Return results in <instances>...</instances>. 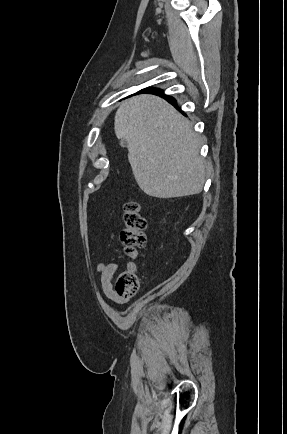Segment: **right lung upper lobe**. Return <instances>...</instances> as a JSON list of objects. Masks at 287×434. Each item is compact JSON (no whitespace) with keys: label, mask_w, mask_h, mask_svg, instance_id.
<instances>
[{"label":"right lung upper lobe","mask_w":287,"mask_h":434,"mask_svg":"<svg viewBox=\"0 0 287 434\" xmlns=\"http://www.w3.org/2000/svg\"><path fill=\"white\" fill-rule=\"evenodd\" d=\"M157 91H160V89H157V88H147V89L141 90L140 92L153 93V92H157Z\"/></svg>","instance_id":"1"}]
</instances>
